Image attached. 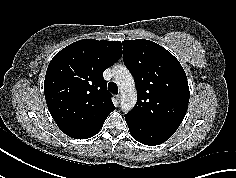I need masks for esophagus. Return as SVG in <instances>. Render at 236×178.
Segmentation results:
<instances>
[{"instance_id": "34e87169", "label": "esophagus", "mask_w": 236, "mask_h": 178, "mask_svg": "<svg viewBox=\"0 0 236 178\" xmlns=\"http://www.w3.org/2000/svg\"><path fill=\"white\" fill-rule=\"evenodd\" d=\"M116 99H117V101L119 102L120 101V99H121V96L118 94V95H116Z\"/></svg>"}]
</instances>
